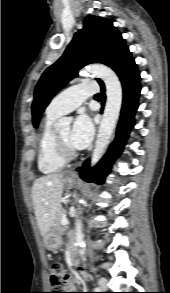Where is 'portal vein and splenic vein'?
Returning a JSON list of instances; mask_svg holds the SVG:
<instances>
[{"mask_svg": "<svg viewBox=\"0 0 170 293\" xmlns=\"http://www.w3.org/2000/svg\"><path fill=\"white\" fill-rule=\"evenodd\" d=\"M61 224H62L63 226L69 224L68 219H67V218H63V219L61 220Z\"/></svg>", "mask_w": 170, "mask_h": 293, "instance_id": "obj_1", "label": "portal vein and splenic vein"}]
</instances>
